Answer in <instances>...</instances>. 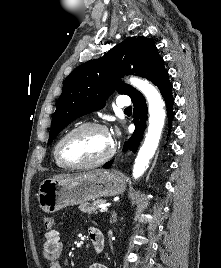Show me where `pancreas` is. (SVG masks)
<instances>
[{
    "instance_id": "obj_1",
    "label": "pancreas",
    "mask_w": 221,
    "mask_h": 268,
    "mask_svg": "<svg viewBox=\"0 0 221 268\" xmlns=\"http://www.w3.org/2000/svg\"><path fill=\"white\" fill-rule=\"evenodd\" d=\"M105 203H106L105 200H97L92 204L83 203L79 206V209L84 213L93 214V213H96V210H97L99 205H102Z\"/></svg>"
}]
</instances>
